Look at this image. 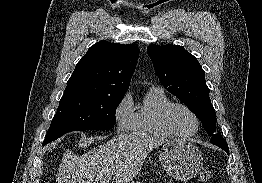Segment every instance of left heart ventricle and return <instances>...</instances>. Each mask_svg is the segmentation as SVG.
<instances>
[{
  "instance_id": "b2bd125f",
  "label": "left heart ventricle",
  "mask_w": 262,
  "mask_h": 183,
  "mask_svg": "<svg viewBox=\"0 0 262 183\" xmlns=\"http://www.w3.org/2000/svg\"><path fill=\"white\" fill-rule=\"evenodd\" d=\"M170 124L179 133H191L196 128L193 116L183 108H175L170 115Z\"/></svg>"
}]
</instances>
